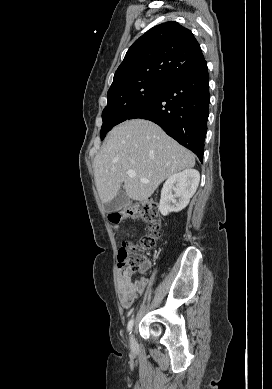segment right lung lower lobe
Masks as SVG:
<instances>
[{"label": "right lung lower lobe", "instance_id": "98d812e1", "mask_svg": "<svg viewBox=\"0 0 272 389\" xmlns=\"http://www.w3.org/2000/svg\"><path fill=\"white\" fill-rule=\"evenodd\" d=\"M209 103V74L204 60L168 81L128 119L153 121L202 162Z\"/></svg>", "mask_w": 272, "mask_h": 389}]
</instances>
